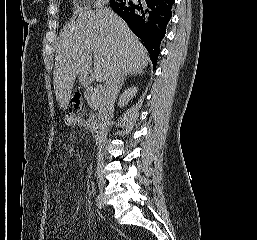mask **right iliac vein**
Returning a JSON list of instances; mask_svg holds the SVG:
<instances>
[{
  "label": "right iliac vein",
  "mask_w": 257,
  "mask_h": 240,
  "mask_svg": "<svg viewBox=\"0 0 257 240\" xmlns=\"http://www.w3.org/2000/svg\"><path fill=\"white\" fill-rule=\"evenodd\" d=\"M100 191H101V193L103 192V186L102 185L100 186ZM102 200L104 202V199H102Z\"/></svg>",
  "instance_id": "right-iliac-vein-1"
}]
</instances>
